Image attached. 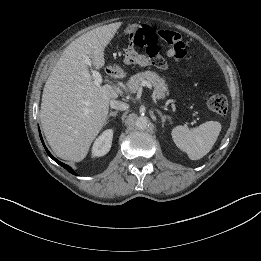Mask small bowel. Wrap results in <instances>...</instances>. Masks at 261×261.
Listing matches in <instances>:
<instances>
[{
  "mask_svg": "<svg viewBox=\"0 0 261 261\" xmlns=\"http://www.w3.org/2000/svg\"><path fill=\"white\" fill-rule=\"evenodd\" d=\"M173 32V31H172ZM169 56H176L174 51L172 49H168L167 51ZM178 57V56H177ZM124 61L127 64H133L138 66H147L149 65V60L146 56L138 53L132 44V42L129 43V45L124 50Z\"/></svg>",
  "mask_w": 261,
  "mask_h": 261,
  "instance_id": "c3829d8e",
  "label": "small bowel"
}]
</instances>
